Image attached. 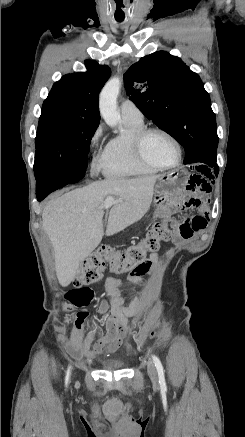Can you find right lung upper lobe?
Here are the masks:
<instances>
[{"label": "right lung upper lobe", "instance_id": "cb5924a9", "mask_svg": "<svg viewBox=\"0 0 245 437\" xmlns=\"http://www.w3.org/2000/svg\"><path fill=\"white\" fill-rule=\"evenodd\" d=\"M85 66V73L62 76L53 85L42 109L63 110L89 121L100 122L99 93L109 79L111 70L92 60H86Z\"/></svg>", "mask_w": 245, "mask_h": 437}]
</instances>
